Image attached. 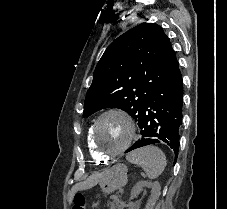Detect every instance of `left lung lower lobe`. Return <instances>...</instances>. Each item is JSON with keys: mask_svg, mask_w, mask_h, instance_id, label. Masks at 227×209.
<instances>
[{"mask_svg": "<svg viewBox=\"0 0 227 209\" xmlns=\"http://www.w3.org/2000/svg\"><path fill=\"white\" fill-rule=\"evenodd\" d=\"M183 82L179 63L163 85L145 104L138 118L142 138L126 152L146 145L164 143L178 155L179 128L182 123Z\"/></svg>", "mask_w": 227, "mask_h": 209, "instance_id": "obj_1", "label": "left lung lower lobe"}]
</instances>
